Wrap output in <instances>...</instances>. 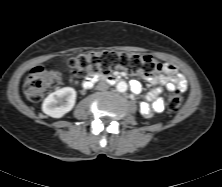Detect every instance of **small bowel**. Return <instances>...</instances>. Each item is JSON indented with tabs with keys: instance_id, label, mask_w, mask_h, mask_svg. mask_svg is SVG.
<instances>
[{
	"instance_id": "small-bowel-1",
	"label": "small bowel",
	"mask_w": 222,
	"mask_h": 187,
	"mask_svg": "<svg viewBox=\"0 0 222 187\" xmlns=\"http://www.w3.org/2000/svg\"><path fill=\"white\" fill-rule=\"evenodd\" d=\"M162 74L146 76L144 79L153 86L147 93L146 101L140 104V112L145 118H152L156 113L163 111L164 102L161 99L163 88H178L186 90L188 82L186 78L180 74L173 64L165 63L162 67ZM70 81L76 83L77 80L73 75H70ZM132 89L135 93H139L142 86L139 82L132 83Z\"/></svg>"
}]
</instances>
